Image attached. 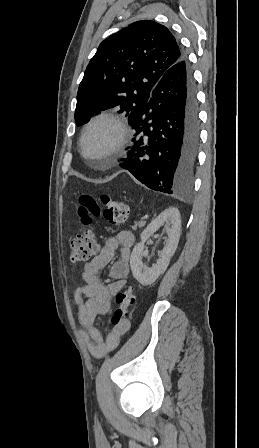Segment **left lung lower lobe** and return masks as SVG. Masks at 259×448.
Listing matches in <instances>:
<instances>
[{
  "label": "left lung lower lobe",
  "instance_id": "0a47b994",
  "mask_svg": "<svg viewBox=\"0 0 259 448\" xmlns=\"http://www.w3.org/2000/svg\"><path fill=\"white\" fill-rule=\"evenodd\" d=\"M134 145L120 166L147 187L167 194L191 186L199 118L190 64L183 53L153 88L145 107L128 117Z\"/></svg>",
  "mask_w": 259,
  "mask_h": 448
}]
</instances>
